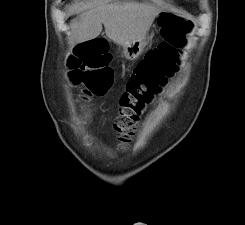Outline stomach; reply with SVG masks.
I'll use <instances>...</instances> for the list:
<instances>
[{"label":"stomach","mask_w":245,"mask_h":225,"mask_svg":"<svg viewBox=\"0 0 245 225\" xmlns=\"http://www.w3.org/2000/svg\"><path fill=\"white\" fill-rule=\"evenodd\" d=\"M152 36L153 33H151V35L146 34L142 39L127 43L123 46L122 55L127 60H136L142 54Z\"/></svg>","instance_id":"stomach-1"}]
</instances>
